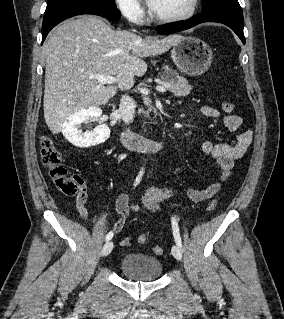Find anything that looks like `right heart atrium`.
<instances>
[{"instance_id":"right-heart-atrium-1","label":"right heart atrium","mask_w":284,"mask_h":319,"mask_svg":"<svg viewBox=\"0 0 284 319\" xmlns=\"http://www.w3.org/2000/svg\"><path fill=\"white\" fill-rule=\"evenodd\" d=\"M120 13L130 22L141 23L145 16V9L139 0H115Z\"/></svg>"}]
</instances>
